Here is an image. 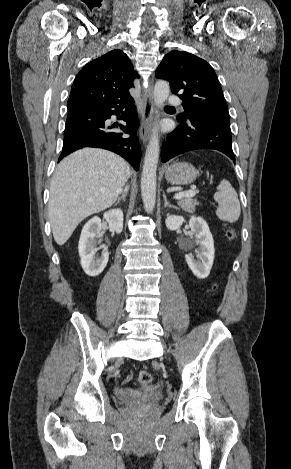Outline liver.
Wrapping results in <instances>:
<instances>
[{
  "label": "liver",
  "instance_id": "6515ba94",
  "mask_svg": "<svg viewBox=\"0 0 291 469\" xmlns=\"http://www.w3.org/2000/svg\"><path fill=\"white\" fill-rule=\"evenodd\" d=\"M129 176V164L107 150L84 148L64 158L52 177L48 203L56 243L65 244L82 220L114 204Z\"/></svg>",
  "mask_w": 291,
  "mask_h": 469
}]
</instances>
